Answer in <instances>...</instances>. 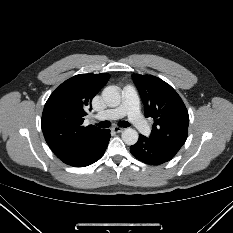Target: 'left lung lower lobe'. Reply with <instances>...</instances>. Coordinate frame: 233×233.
Segmentation results:
<instances>
[{
    "mask_svg": "<svg viewBox=\"0 0 233 233\" xmlns=\"http://www.w3.org/2000/svg\"><path fill=\"white\" fill-rule=\"evenodd\" d=\"M131 154L140 161L151 164L160 165L171 160L176 151L156 145L143 135L139 136L138 142L130 147Z\"/></svg>",
    "mask_w": 233,
    "mask_h": 233,
    "instance_id": "0a47b994",
    "label": "left lung lower lobe"
}]
</instances>
